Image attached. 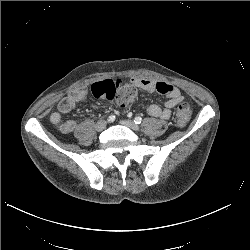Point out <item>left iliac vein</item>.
Masks as SVG:
<instances>
[{"mask_svg": "<svg viewBox=\"0 0 250 250\" xmlns=\"http://www.w3.org/2000/svg\"><path fill=\"white\" fill-rule=\"evenodd\" d=\"M120 123L134 131H139L140 127L131 120H121Z\"/></svg>", "mask_w": 250, "mask_h": 250, "instance_id": "left-iliac-vein-1", "label": "left iliac vein"}]
</instances>
